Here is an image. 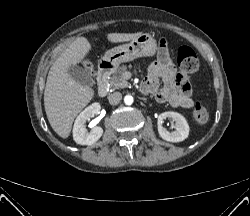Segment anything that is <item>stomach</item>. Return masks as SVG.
Returning <instances> with one entry per match:
<instances>
[{"mask_svg": "<svg viewBox=\"0 0 250 216\" xmlns=\"http://www.w3.org/2000/svg\"><path fill=\"white\" fill-rule=\"evenodd\" d=\"M157 50L156 41L147 33H143L127 44L119 45L108 50L103 61L113 68L121 63L132 61L139 57H152Z\"/></svg>", "mask_w": 250, "mask_h": 216, "instance_id": "1", "label": "stomach"}]
</instances>
